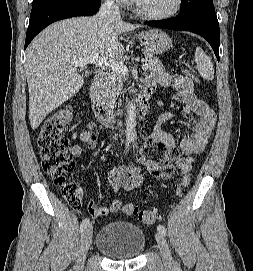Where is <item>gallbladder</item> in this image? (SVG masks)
<instances>
[{
  "label": "gallbladder",
  "instance_id": "gallbladder-1",
  "mask_svg": "<svg viewBox=\"0 0 253 271\" xmlns=\"http://www.w3.org/2000/svg\"><path fill=\"white\" fill-rule=\"evenodd\" d=\"M89 74H90V72L86 71V72L84 73V76H88Z\"/></svg>",
  "mask_w": 253,
  "mask_h": 271
}]
</instances>
